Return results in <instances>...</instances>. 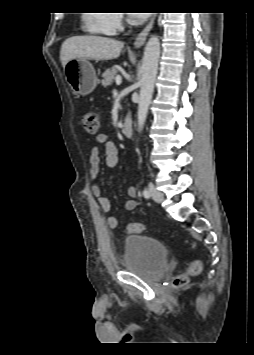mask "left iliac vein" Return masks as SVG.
Returning a JSON list of instances; mask_svg holds the SVG:
<instances>
[{
    "mask_svg": "<svg viewBox=\"0 0 254 355\" xmlns=\"http://www.w3.org/2000/svg\"><path fill=\"white\" fill-rule=\"evenodd\" d=\"M149 190H150V194L152 199L157 202V203H161L164 200V196L163 194L158 191L153 184L149 185Z\"/></svg>",
    "mask_w": 254,
    "mask_h": 355,
    "instance_id": "4c4485c4",
    "label": "left iliac vein"
}]
</instances>
